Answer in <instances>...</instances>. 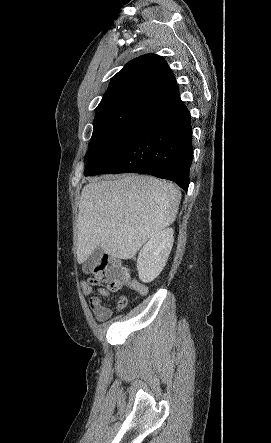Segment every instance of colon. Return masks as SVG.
I'll list each match as a JSON object with an SVG mask.
<instances>
[{"mask_svg":"<svg viewBox=\"0 0 271 443\" xmlns=\"http://www.w3.org/2000/svg\"><path fill=\"white\" fill-rule=\"evenodd\" d=\"M89 283L101 285L109 291L133 287L129 268L124 266L120 260L112 257H103L96 263L93 277Z\"/></svg>","mask_w":271,"mask_h":443,"instance_id":"colon-1","label":"colon"}]
</instances>
